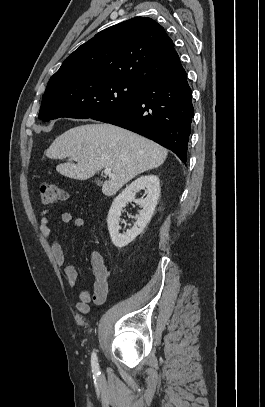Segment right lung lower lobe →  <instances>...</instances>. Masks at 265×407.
Returning a JSON list of instances; mask_svg holds the SVG:
<instances>
[{"label": "right lung lower lobe", "mask_w": 265, "mask_h": 407, "mask_svg": "<svg viewBox=\"0 0 265 407\" xmlns=\"http://www.w3.org/2000/svg\"><path fill=\"white\" fill-rule=\"evenodd\" d=\"M193 117L192 91L178 59L169 74L147 84L133 103L92 119L143 135L186 163Z\"/></svg>", "instance_id": "1"}]
</instances>
